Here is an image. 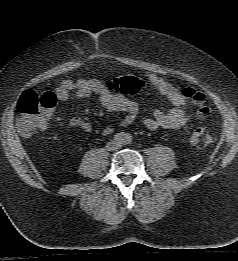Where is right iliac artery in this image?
<instances>
[{
    "instance_id": "1",
    "label": "right iliac artery",
    "mask_w": 238,
    "mask_h": 261,
    "mask_svg": "<svg viewBox=\"0 0 238 261\" xmlns=\"http://www.w3.org/2000/svg\"><path fill=\"white\" fill-rule=\"evenodd\" d=\"M125 136L126 134H124L123 132L117 133L114 135V141L117 143H123L125 140Z\"/></svg>"
}]
</instances>
